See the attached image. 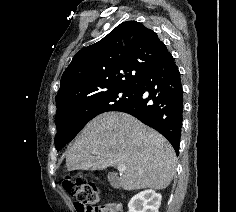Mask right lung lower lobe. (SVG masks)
I'll return each instance as SVG.
<instances>
[{
  "mask_svg": "<svg viewBox=\"0 0 236 212\" xmlns=\"http://www.w3.org/2000/svg\"><path fill=\"white\" fill-rule=\"evenodd\" d=\"M116 111L126 112L165 136L178 155L183 117L179 70L168 50L137 83L135 98Z\"/></svg>",
  "mask_w": 236,
  "mask_h": 212,
  "instance_id": "1",
  "label": "right lung lower lobe"
}]
</instances>
